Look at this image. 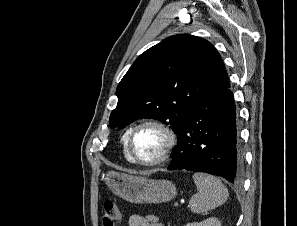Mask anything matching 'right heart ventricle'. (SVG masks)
<instances>
[{
    "mask_svg": "<svg viewBox=\"0 0 297 226\" xmlns=\"http://www.w3.org/2000/svg\"><path fill=\"white\" fill-rule=\"evenodd\" d=\"M129 130H130V129L126 130L125 133L123 134V136H122V143H123V153H124V157H125L126 160H128V161L131 162L132 160L130 159V157H129L128 153H127V149H126V139H127Z\"/></svg>",
    "mask_w": 297,
    "mask_h": 226,
    "instance_id": "1",
    "label": "right heart ventricle"
}]
</instances>
